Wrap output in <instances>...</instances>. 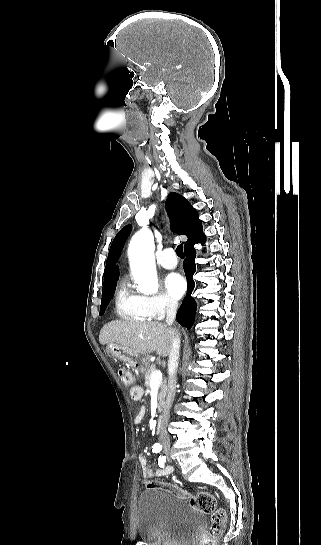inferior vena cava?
Instances as JSON below:
<instances>
[{"label":"inferior vena cava","instance_id":"602c4592","mask_svg":"<svg viewBox=\"0 0 321 545\" xmlns=\"http://www.w3.org/2000/svg\"><path fill=\"white\" fill-rule=\"evenodd\" d=\"M178 303L177 301H172V299H168L166 301V325H173L176 317V311H177ZM180 351V339L179 337H176L173 341L172 349L169 353V359H168V371H169V379H168V389H167V397H166V403L163 411V415L161 417V423H160V443L163 450L168 451L170 450V439L167 431V425L169 423L170 419V409L173 405V401L175 399L176 395V387H177V369L179 365V353Z\"/></svg>","mask_w":321,"mask_h":545}]
</instances>
